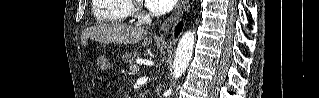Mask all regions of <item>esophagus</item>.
<instances>
[{"label": "esophagus", "mask_w": 319, "mask_h": 98, "mask_svg": "<svg viewBox=\"0 0 319 98\" xmlns=\"http://www.w3.org/2000/svg\"><path fill=\"white\" fill-rule=\"evenodd\" d=\"M188 2V0H180L177 3L172 14L162 23L160 27V31L162 33H168L170 29L175 26L180 17L183 15Z\"/></svg>", "instance_id": "1"}]
</instances>
